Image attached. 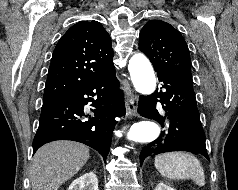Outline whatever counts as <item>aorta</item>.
Segmentation results:
<instances>
[{"label": "aorta", "mask_w": 238, "mask_h": 190, "mask_svg": "<svg viewBox=\"0 0 238 190\" xmlns=\"http://www.w3.org/2000/svg\"><path fill=\"white\" fill-rule=\"evenodd\" d=\"M128 70L137 92L150 95L156 88L155 74L151 63L143 54H135L129 60ZM160 127L151 120H142L134 123L127 139L132 142L150 143L158 138Z\"/></svg>", "instance_id": "aorta-1"}]
</instances>
